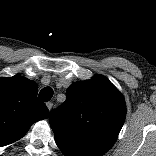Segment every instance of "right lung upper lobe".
<instances>
[{"label": "right lung upper lobe", "instance_id": "obj_1", "mask_svg": "<svg viewBox=\"0 0 156 156\" xmlns=\"http://www.w3.org/2000/svg\"><path fill=\"white\" fill-rule=\"evenodd\" d=\"M37 93V83L25 77L0 78V146L19 140L33 123L49 116Z\"/></svg>", "mask_w": 156, "mask_h": 156}]
</instances>
